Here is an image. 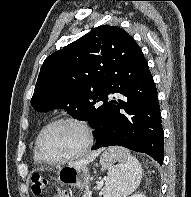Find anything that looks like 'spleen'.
Instances as JSON below:
<instances>
[{
	"instance_id": "obj_1",
	"label": "spleen",
	"mask_w": 191,
	"mask_h": 197,
	"mask_svg": "<svg viewBox=\"0 0 191 197\" xmlns=\"http://www.w3.org/2000/svg\"><path fill=\"white\" fill-rule=\"evenodd\" d=\"M116 157L118 164L109 171V181L105 187V197H127L141 183L142 167L139 161L123 147L108 149Z\"/></svg>"
}]
</instances>
